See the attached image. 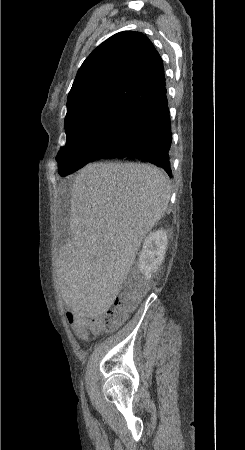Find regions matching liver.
<instances>
[{
	"instance_id": "1",
	"label": "liver",
	"mask_w": 245,
	"mask_h": 450,
	"mask_svg": "<svg viewBox=\"0 0 245 450\" xmlns=\"http://www.w3.org/2000/svg\"><path fill=\"white\" fill-rule=\"evenodd\" d=\"M169 200L167 177L150 164L99 162L80 171L71 189L72 239L57 262L67 306L91 317L111 307Z\"/></svg>"
}]
</instances>
